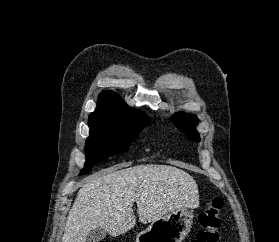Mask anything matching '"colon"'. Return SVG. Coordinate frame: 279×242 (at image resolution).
I'll use <instances>...</instances> for the list:
<instances>
[{"label": "colon", "mask_w": 279, "mask_h": 242, "mask_svg": "<svg viewBox=\"0 0 279 242\" xmlns=\"http://www.w3.org/2000/svg\"><path fill=\"white\" fill-rule=\"evenodd\" d=\"M223 205L221 197H214L208 201L205 209L199 215L201 229L191 242H218Z\"/></svg>", "instance_id": "obj_1"}]
</instances>
